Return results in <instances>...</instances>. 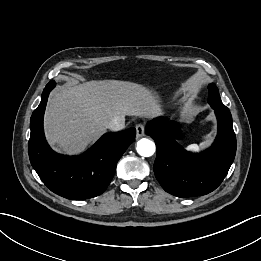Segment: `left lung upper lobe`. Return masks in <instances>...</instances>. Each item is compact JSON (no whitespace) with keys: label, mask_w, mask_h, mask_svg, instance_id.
Listing matches in <instances>:
<instances>
[{"label":"left lung upper lobe","mask_w":261,"mask_h":261,"mask_svg":"<svg viewBox=\"0 0 261 261\" xmlns=\"http://www.w3.org/2000/svg\"><path fill=\"white\" fill-rule=\"evenodd\" d=\"M209 97L208 103L213 109L221 110L223 112H229V109L222 103L218 88L214 83H211L209 86Z\"/></svg>","instance_id":"left-lung-upper-lobe-1"}]
</instances>
